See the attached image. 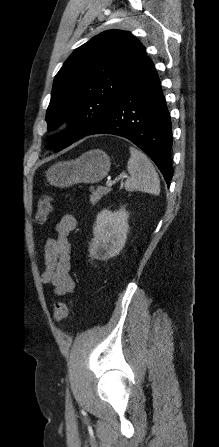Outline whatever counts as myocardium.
<instances>
[{
	"label": "myocardium",
	"mask_w": 219,
	"mask_h": 447,
	"mask_svg": "<svg viewBox=\"0 0 219 447\" xmlns=\"http://www.w3.org/2000/svg\"><path fill=\"white\" fill-rule=\"evenodd\" d=\"M68 127V124L67 123H64L63 124V128H67Z\"/></svg>",
	"instance_id": "myocardium-1"
}]
</instances>
